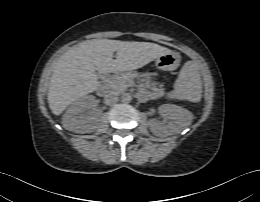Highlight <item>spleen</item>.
Here are the masks:
<instances>
[{"label": "spleen", "instance_id": "obj_1", "mask_svg": "<svg viewBox=\"0 0 260 202\" xmlns=\"http://www.w3.org/2000/svg\"><path fill=\"white\" fill-rule=\"evenodd\" d=\"M202 84L200 75L193 62L185 63L179 74V82L170 98L184 99L191 102H199L201 99Z\"/></svg>", "mask_w": 260, "mask_h": 202}]
</instances>
